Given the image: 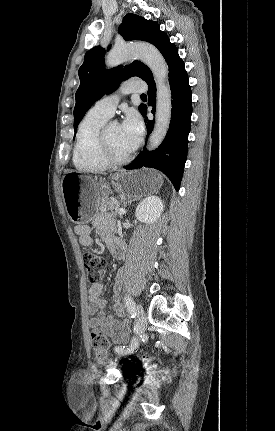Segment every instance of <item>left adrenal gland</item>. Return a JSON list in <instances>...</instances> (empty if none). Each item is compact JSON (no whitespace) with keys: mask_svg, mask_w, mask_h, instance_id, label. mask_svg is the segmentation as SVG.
<instances>
[{"mask_svg":"<svg viewBox=\"0 0 275 431\" xmlns=\"http://www.w3.org/2000/svg\"><path fill=\"white\" fill-rule=\"evenodd\" d=\"M135 200H137V199H133V200H129V201L124 202L123 208H125L127 206V204H131L132 201H135Z\"/></svg>","mask_w":275,"mask_h":431,"instance_id":"obj_1","label":"left adrenal gland"}]
</instances>
